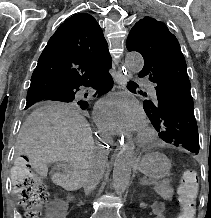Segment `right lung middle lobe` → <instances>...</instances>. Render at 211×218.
<instances>
[{"label":"right lung middle lobe","instance_id":"obj_1","mask_svg":"<svg viewBox=\"0 0 211 218\" xmlns=\"http://www.w3.org/2000/svg\"><path fill=\"white\" fill-rule=\"evenodd\" d=\"M64 105L80 106L81 109H86L88 107L86 101L78 100L75 98L74 94L62 91L27 101L25 109L33 111Z\"/></svg>","mask_w":211,"mask_h":218}]
</instances>
